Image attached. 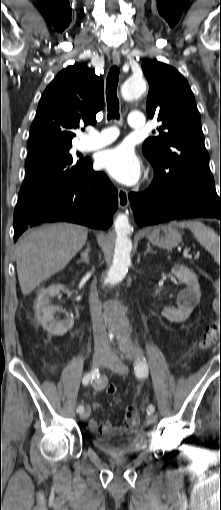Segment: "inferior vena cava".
<instances>
[{
  "instance_id": "602c4592",
  "label": "inferior vena cava",
  "mask_w": 221,
  "mask_h": 510,
  "mask_svg": "<svg viewBox=\"0 0 221 510\" xmlns=\"http://www.w3.org/2000/svg\"><path fill=\"white\" fill-rule=\"evenodd\" d=\"M89 304L94 333V349L95 351L108 352L110 351L109 340L104 325L101 303L94 284L91 286Z\"/></svg>"
}]
</instances>
